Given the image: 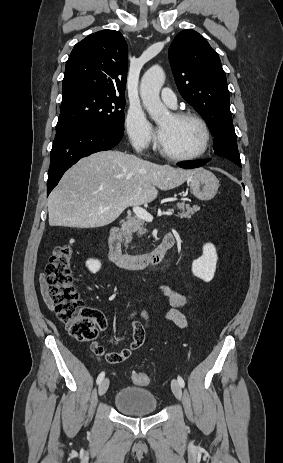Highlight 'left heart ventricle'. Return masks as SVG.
Here are the masks:
<instances>
[{
	"label": "left heart ventricle",
	"instance_id": "obj_1",
	"mask_svg": "<svg viewBox=\"0 0 283 463\" xmlns=\"http://www.w3.org/2000/svg\"><path fill=\"white\" fill-rule=\"evenodd\" d=\"M159 129L160 145L172 154L190 155L202 146L203 132L194 120H175L169 115L159 122Z\"/></svg>",
	"mask_w": 283,
	"mask_h": 463
}]
</instances>
